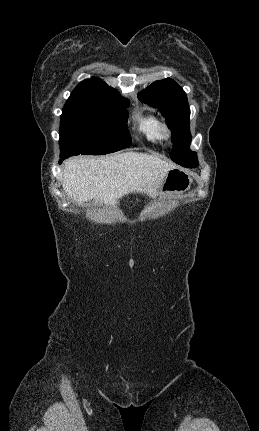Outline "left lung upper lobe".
I'll list each match as a JSON object with an SVG mask.
<instances>
[{
    "mask_svg": "<svg viewBox=\"0 0 259 431\" xmlns=\"http://www.w3.org/2000/svg\"><path fill=\"white\" fill-rule=\"evenodd\" d=\"M139 99L154 108H159L166 118V123L172 130L171 159L182 166L195 167L198 160L197 154L189 149L190 109L183 89L174 80L166 78L152 83L139 93Z\"/></svg>",
    "mask_w": 259,
    "mask_h": 431,
    "instance_id": "obj_1",
    "label": "left lung upper lobe"
}]
</instances>
